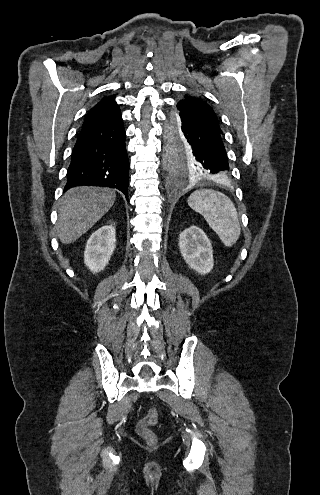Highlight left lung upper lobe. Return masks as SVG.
Here are the masks:
<instances>
[{"label": "left lung upper lobe", "mask_w": 320, "mask_h": 495, "mask_svg": "<svg viewBox=\"0 0 320 495\" xmlns=\"http://www.w3.org/2000/svg\"><path fill=\"white\" fill-rule=\"evenodd\" d=\"M185 111L195 114L196 117L205 120L213 128L222 133L216 113L211 106L200 97L186 94L177 103V111L172 115L173 124L169 131V166L173 174L184 171L190 177L212 178L205 169L200 159V150L188 143L181 132L178 121V112Z\"/></svg>", "instance_id": "5c2ea615"}]
</instances>
